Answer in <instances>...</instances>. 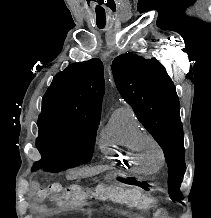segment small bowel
Here are the masks:
<instances>
[{
	"instance_id": "c3829d8e",
	"label": "small bowel",
	"mask_w": 211,
	"mask_h": 218,
	"mask_svg": "<svg viewBox=\"0 0 211 218\" xmlns=\"http://www.w3.org/2000/svg\"><path fill=\"white\" fill-rule=\"evenodd\" d=\"M29 197L33 200V205L37 209L44 207L43 202L46 200V197L43 194V191L40 190L37 186H33L29 192Z\"/></svg>"
}]
</instances>
